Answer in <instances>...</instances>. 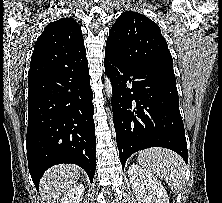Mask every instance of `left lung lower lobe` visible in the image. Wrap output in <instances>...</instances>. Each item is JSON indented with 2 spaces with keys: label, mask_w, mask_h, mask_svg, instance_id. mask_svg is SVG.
I'll use <instances>...</instances> for the list:
<instances>
[{
  "label": "left lung lower lobe",
  "mask_w": 222,
  "mask_h": 203,
  "mask_svg": "<svg viewBox=\"0 0 222 203\" xmlns=\"http://www.w3.org/2000/svg\"><path fill=\"white\" fill-rule=\"evenodd\" d=\"M104 67L113 87V120L122 167L131 154L150 147L171 149L187 163L173 69L129 63L108 51Z\"/></svg>",
  "instance_id": "0a47b994"
}]
</instances>
